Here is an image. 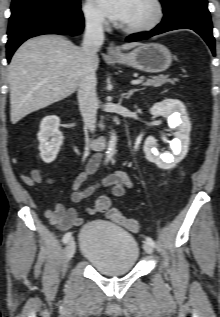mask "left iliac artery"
Masks as SVG:
<instances>
[{
    "label": "left iliac artery",
    "mask_w": 220,
    "mask_h": 317,
    "mask_svg": "<svg viewBox=\"0 0 220 317\" xmlns=\"http://www.w3.org/2000/svg\"><path fill=\"white\" fill-rule=\"evenodd\" d=\"M146 242H148L152 247L155 246V242L151 237H146Z\"/></svg>",
    "instance_id": "44dca946"
}]
</instances>
